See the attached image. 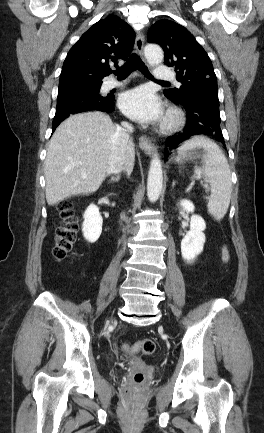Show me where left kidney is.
<instances>
[{
  "instance_id": "obj_1",
  "label": "left kidney",
  "mask_w": 264,
  "mask_h": 433,
  "mask_svg": "<svg viewBox=\"0 0 264 433\" xmlns=\"http://www.w3.org/2000/svg\"><path fill=\"white\" fill-rule=\"evenodd\" d=\"M180 206L187 213L194 212V204L190 200H181ZM206 229L204 219L193 214L190 219V230L186 233L181 241V254L187 263H192L194 259L203 251L205 243V234L203 231Z\"/></svg>"
}]
</instances>
